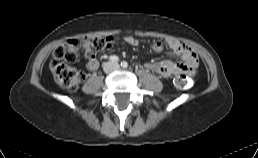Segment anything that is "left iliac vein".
Masks as SVG:
<instances>
[{"mask_svg":"<svg viewBox=\"0 0 258 158\" xmlns=\"http://www.w3.org/2000/svg\"><path fill=\"white\" fill-rule=\"evenodd\" d=\"M114 68H119V65L118 64H114Z\"/></svg>","mask_w":258,"mask_h":158,"instance_id":"obj_1","label":"left iliac vein"}]
</instances>
